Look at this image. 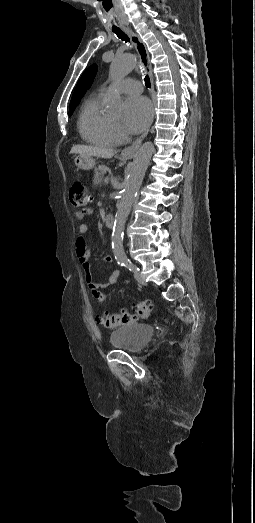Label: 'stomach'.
<instances>
[{
  "label": "stomach",
  "mask_w": 255,
  "mask_h": 523,
  "mask_svg": "<svg viewBox=\"0 0 255 523\" xmlns=\"http://www.w3.org/2000/svg\"><path fill=\"white\" fill-rule=\"evenodd\" d=\"M122 158H125V160H129V158H133V156H126L124 152L121 154ZM75 166L77 168H80V170H93L95 166V160L93 158H84V156H77L74 160Z\"/></svg>",
  "instance_id": "obj_1"
}]
</instances>
